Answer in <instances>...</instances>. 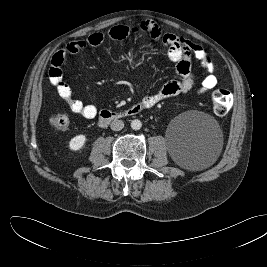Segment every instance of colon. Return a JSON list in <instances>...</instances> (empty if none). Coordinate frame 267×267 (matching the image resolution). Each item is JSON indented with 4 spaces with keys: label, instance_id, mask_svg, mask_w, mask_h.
Here are the masks:
<instances>
[{
    "label": "colon",
    "instance_id": "1",
    "mask_svg": "<svg viewBox=\"0 0 267 267\" xmlns=\"http://www.w3.org/2000/svg\"><path fill=\"white\" fill-rule=\"evenodd\" d=\"M233 105V96L227 89H217L212 93L213 111L218 116L226 115ZM70 124L66 114L57 113L50 118V125L57 130H66Z\"/></svg>",
    "mask_w": 267,
    "mask_h": 267
}]
</instances>
